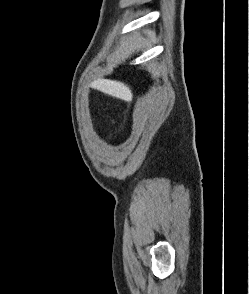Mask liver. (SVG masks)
Wrapping results in <instances>:
<instances>
[{
    "mask_svg": "<svg viewBox=\"0 0 249 294\" xmlns=\"http://www.w3.org/2000/svg\"><path fill=\"white\" fill-rule=\"evenodd\" d=\"M93 84L98 90L123 100H130L133 97L131 89L119 81L98 79Z\"/></svg>",
    "mask_w": 249,
    "mask_h": 294,
    "instance_id": "6515ba94",
    "label": "liver"
}]
</instances>
